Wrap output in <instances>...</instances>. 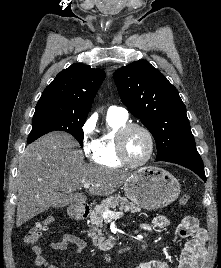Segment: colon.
<instances>
[{
  "label": "colon",
  "mask_w": 221,
  "mask_h": 268,
  "mask_svg": "<svg viewBox=\"0 0 221 268\" xmlns=\"http://www.w3.org/2000/svg\"><path fill=\"white\" fill-rule=\"evenodd\" d=\"M190 200L188 195H184L180 198L179 203L181 205H186ZM52 219H45L43 221L37 222L25 235L24 241L29 245L37 244L44 231L48 228V226L52 223Z\"/></svg>",
  "instance_id": "5ec220e1"
}]
</instances>
